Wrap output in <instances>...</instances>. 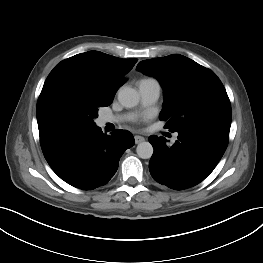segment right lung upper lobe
<instances>
[{"mask_svg":"<svg viewBox=\"0 0 263 263\" xmlns=\"http://www.w3.org/2000/svg\"><path fill=\"white\" fill-rule=\"evenodd\" d=\"M136 62L137 59H121L99 51H89L61 61L50 72L45 83L60 77H76L113 99L116 91L126 82L124 75Z\"/></svg>","mask_w":263,"mask_h":263,"instance_id":"cb5924a9","label":"right lung upper lobe"}]
</instances>
